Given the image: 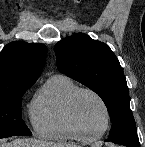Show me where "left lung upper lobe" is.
<instances>
[{
    "label": "left lung upper lobe",
    "mask_w": 145,
    "mask_h": 147,
    "mask_svg": "<svg viewBox=\"0 0 145 147\" xmlns=\"http://www.w3.org/2000/svg\"><path fill=\"white\" fill-rule=\"evenodd\" d=\"M54 49L59 71L96 92L107 106L112 128L106 141L139 147L124 72L110 47L77 33Z\"/></svg>",
    "instance_id": "obj_1"
}]
</instances>
